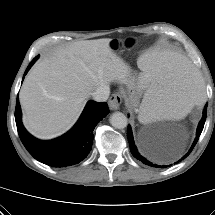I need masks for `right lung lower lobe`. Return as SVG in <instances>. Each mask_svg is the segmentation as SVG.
I'll return each instance as SVG.
<instances>
[{"mask_svg":"<svg viewBox=\"0 0 215 215\" xmlns=\"http://www.w3.org/2000/svg\"><path fill=\"white\" fill-rule=\"evenodd\" d=\"M33 63H30L25 74ZM108 113L107 103L89 101L75 126L65 135L51 141L38 140L25 130L18 98L15 120L23 145L36 160L52 167H66L78 164L87 157L92 148L93 130Z\"/></svg>","mask_w":215,"mask_h":215,"instance_id":"obj_1","label":"right lung lower lobe"}]
</instances>
